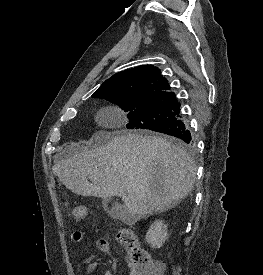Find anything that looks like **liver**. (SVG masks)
I'll list each match as a JSON object with an SVG mask.
<instances>
[{
    "instance_id": "obj_1",
    "label": "liver",
    "mask_w": 263,
    "mask_h": 275,
    "mask_svg": "<svg viewBox=\"0 0 263 275\" xmlns=\"http://www.w3.org/2000/svg\"><path fill=\"white\" fill-rule=\"evenodd\" d=\"M93 143L58 160L53 173L77 195L122 198L129 221L170 209L194 187L193 160L166 138L99 131Z\"/></svg>"
}]
</instances>
